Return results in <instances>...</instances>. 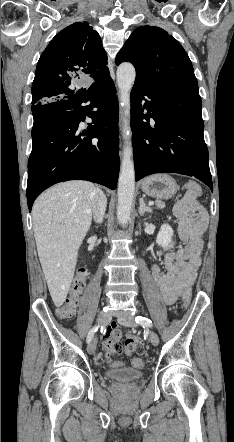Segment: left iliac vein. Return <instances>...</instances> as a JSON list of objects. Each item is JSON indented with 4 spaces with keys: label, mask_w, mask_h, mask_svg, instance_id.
Returning a JSON list of instances; mask_svg holds the SVG:
<instances>
[{
    "label": "left iliac vein",
    "mask_w": 234,
    "mask_h": 442,
    "mask_svg": "<svg viewBox=\"0 0 234 442\" xmlns=\"http://www.w3.org/2000/svg\"><path fill=\"white\" fill-rule=\"evenodd\" d=\"M118 322L127 327H135L137 325L134 321V318L129 314L119 316ZM149 339L154 346H157L159 344V337L157 333L152 330L149 332Z\"/></svg>",
    "instance_id": "obj_1"
}]
</instances>
